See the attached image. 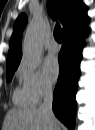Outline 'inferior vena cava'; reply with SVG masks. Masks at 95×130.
I'll use <instances>...</instances> for the list:
<instances>
[{
	"instance_id": "inferior-vena-cava-1",
	"label": "inferior vena cava",
	"mask_w": 95,
	"mask_h": 130,
	"mask_svg": "<svg viewBox=\"0 0 95 130\" xmlns=\"http://www.w3.org/2000/svg\"><path fill=\"white\" fill-rule=\"evenodd\" d=\"M52 101H53V89L52 86L48 85L45 88L43 103L40 105L39 110L45 114L48 119L54 120V114L52 111Z\"/></svg>"
}]
</instances>
